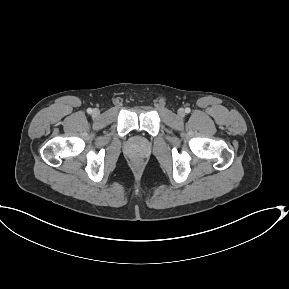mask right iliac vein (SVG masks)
<instances>
[{"label":"right iliac vein","mask_w":289,"mask_h":289,"mask_svg":"<svg viewBox=\"0 0 289 289\" xmlns=\"http://www.w3.org/2000/svg\"><path fill=\"white\" fill-rule=\"evenodd\" d=\"M92 114L93 116L97 117L100 114V111L98 109H94Z\"/></svg>","instance_id":"obj_1"}]
</instances>
